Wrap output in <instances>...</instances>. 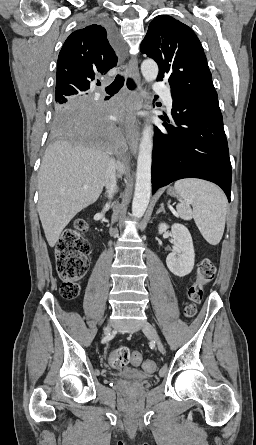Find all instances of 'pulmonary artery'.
<instances>
[{
    "mask_svg": "<svg viewBox=\"0 0 256 445\" xmlns=\"http://www.w3.org/2000/svg\"><path fill=\"white\" fill-rule=\"evenodd\" d=\"M153 89L156 91H160L164 97V104L168 109L172 108V98L171 93L168 89L164 88L161 82H155L153 85Z\"/></svg>",
    "mask_w": 256,
    "mask_h": 445,
    "instance_id": "1",
    "label": "pulmonary artery"
}]
</instances>
